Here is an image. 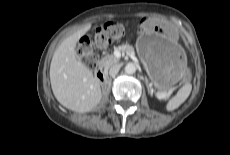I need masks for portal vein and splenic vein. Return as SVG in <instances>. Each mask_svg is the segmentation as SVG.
Instances as JSON below:
<instances>
[{
	"label": "portal vein and splenic vein",
	"instance_id": "obj_1",
	"mask_svg": "<svg viewBox=\"0 0 230 155\" xmlns=\"http://www.w3.org/2000/svg\"><path fill=\"white\" fill-rule=\"evenodd\" d=\"M166 97V95L165 94H161V98H165Z\"/></svg>",
	"mask_w": 230,
	"mask_h": 155
}]
</instances>
